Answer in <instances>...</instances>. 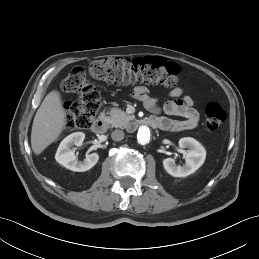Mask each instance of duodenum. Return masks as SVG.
Returning a JSON list of instances; mask_svg holds the SVG:
<instances>
[{
    "label": "duodenum",
    "instance_id": "410a0bca",
    "mask_svg": "<svg viewBox=\"0 0 259 259\" xmlns=\"http://www.w3.org/2000/svg\"><path fill=\"white\" fill-rule=\"evenodd\" d=\"M133 125L137 128H139L141 126H149L152 128H161L162 122L158 118L150 117L147 119H136L133 122ZM106 128H107V122H106L105 118H103V117L96 118L92 124V131L96 134L105 133Z\"/></svg>",
    "mask_w": 259,
    "mask_h": 259
}]
</instances>
